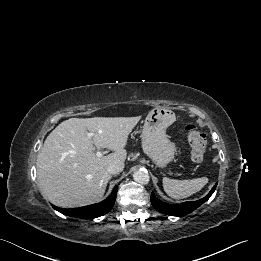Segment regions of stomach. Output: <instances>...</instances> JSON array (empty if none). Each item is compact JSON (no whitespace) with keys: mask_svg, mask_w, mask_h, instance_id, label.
Masks as SVG:
<instances>
[{"mask_svg":"<svg viewBox=\"0 0 261 261\" xmlns=\"http://www.w3.org/2000/svg\"><path fill=\"white\" fill-rule=\"evenodd\" d=\"M176 120L173 111L157 107L152 109L143 125L141 141L144 153L158 167H164L174 158L176 149L166 135V129Z\"/></svg>","mask_w":261,"mask_h":261,"instance_id":"0dacf381","label":"stomach"}]
</instances>
